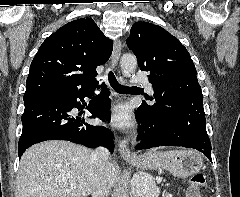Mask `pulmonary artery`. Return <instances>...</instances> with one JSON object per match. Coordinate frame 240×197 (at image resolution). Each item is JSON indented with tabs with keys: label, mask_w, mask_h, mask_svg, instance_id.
<instances>
[{
	"label": "pulmonary artery",
	"mask_w": 240,
	"mask_h": 197,
	"mask_svg": "<svg viewBox=\"0 0 240 197\" xmlns=\"http://www.w3.org/2000/svg\"><path fill=\"white\" fill-rule=\"evenodd\" d=\"M132 82L133 83H141L144 85L146 91L148 93H152L153 92V88H152V84L147 81V80H144V79H139V73H134L132 74Z\"/></svg>",
	"instance_id": "obj_1"
}]
</instances>
